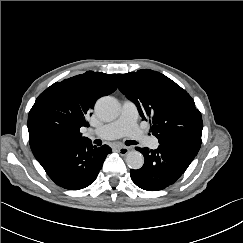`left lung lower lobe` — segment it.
<instances>
[{"mask_svg": "<svg viewBox=\"0 0 243 243\" xmlns=\"http://www.w3.org/2000/svg\"><path fill=\"white\" fill-rule=\"evenodd\" d=\"M200 146L201 139L186 137L160 143L156 150L137 147L145 162L142 168L130 171L131 179L147 191L165 189L186 171Z\"/></svg>", "mask_w": 243, "mask_h": 243, "instance_id": "obj_1", "label": "left lung lower lobe"}]
</instances>
